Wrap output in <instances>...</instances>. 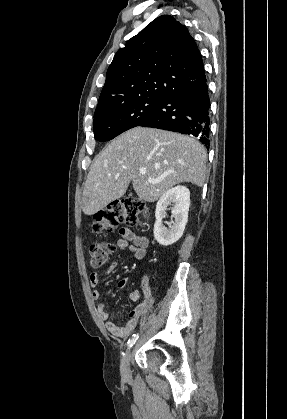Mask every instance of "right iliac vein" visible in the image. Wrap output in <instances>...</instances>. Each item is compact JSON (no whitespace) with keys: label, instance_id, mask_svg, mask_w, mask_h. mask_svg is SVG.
Returning a JSON list of instances; mask_svg holds the SVG:
<instances>
[{"label":"right iliac vein","instance_id":"right-iliac-vein-1","mask_svg":"<svg viewBox=\"0 0 287 419\" xmlns=\"http://www.w3.org/2000/svg\"><path fill=\"white\" fill-rule=\"evenodd\" d=\"M133 356V350L130 349L123 357L121 362V374L123 377L128 378L130 376V361Z\"/></svg>","mask_w":287,"mask_h":419}]
</instances>
